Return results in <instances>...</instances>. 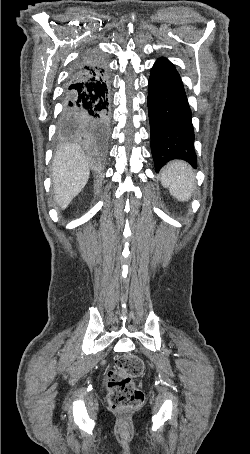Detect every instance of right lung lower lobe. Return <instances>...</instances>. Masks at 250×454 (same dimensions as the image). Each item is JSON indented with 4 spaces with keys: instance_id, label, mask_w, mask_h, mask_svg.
Here are the masks:
<instances>
[{
    "instance_id": "right-lung-lower-lobe-1",
    "label": "right lung lower lobe",
    "mask_w": 250,
    "mask_h": 454,
    "mask_svg": "<svg viewBox=\"0 0 250 454\" xmlns=\"http://www.w3.org/2000/svg\"><path fill=\"white\" fill-rule=\"evenodd\" d=\"M62 126L97 148L109 133V74L104 55L84 51L73 65L63 94Z\"/></svg>"
}]
</instances>
